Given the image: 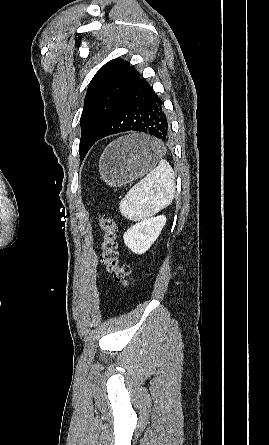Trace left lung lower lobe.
<instances>
[{
  "label": "left lung lower lobe",
  "mask_w": 269,
  "mask_h": 445,
  "mask_svg": "<svg viewBox=\"0 0 269 445\" xmlns=\"http://www.w3.org/2000/svg\"><path fill=\"white\" fill-rule=\"evenodd\" d=\"M131 130L151 134L165 143L170 140V124L162 100L137 70L94 143L106 136Z\"/></svg>",
  "instance_id": "obj_1"
}]
</instances>
